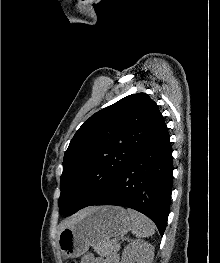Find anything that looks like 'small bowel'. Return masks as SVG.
Returning a JSON list of instances; mask_svg holds the SVG:
<instances>
[{
    "mask_svg": "<svg viewBox=\"0 0 220 263\" xmlns=\"http://www.w3.org/2000/svg\"><path fill=\"white\" fill-rule=\"evenodd\" d=\"M81 263H114V262L108 261V260L97 259L93 255L89 254V255L84 256Z\"/></svg>",
    "mask_w": 220,
    "mask_h": 263,
    "instance_id": "c3829d8e",
    "label": "small bowel"
}]
</instances>
